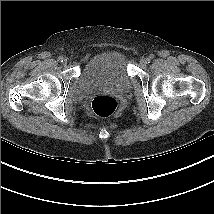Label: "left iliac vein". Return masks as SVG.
<instances>
[{
    "instance_id": "4c4485c4",
    "label": "left iliac vein",
    "mask_w": 214,
    "mask_h": 214,
    "mask_svg": "<svg viewBox=\"0 0 214 214\" xmlns=\"http://www.w3.org/2000/svg\"><path fill=\"white\" fill-rule=\"evenodd\" d=\"M148 62H149L148 58L142 57L141 60H140L141 65H146V64H148Z\"/></svg>"
}]
</instances>
